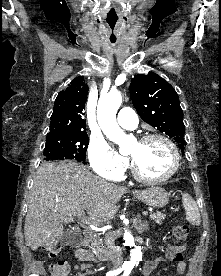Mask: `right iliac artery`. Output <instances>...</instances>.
I'll list each match as a JSON object with an SVG mask.
<instances>
[{
	"label": "right iliac artery",
	"instance_id": "1",
	"mask_svg": "<svg viewBox=\"0 0 221 276\" xmlns=\"http://www.w3.org/2000/svg\"><path fill=\"white\" fill-rule=\"evenodd\" d=\"M122 271V269H117V270H114V271H110L106 274V276H116L118 275L120 272Z\"/></svg>",
	"mask_w": 221,
	"mask_h": 276
}]
</instances>
